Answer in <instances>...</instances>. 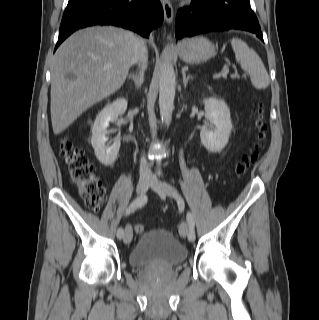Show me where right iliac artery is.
<instances>
[{
  "instance_id": "82829eb1",
  "label": "right iliac artery",
  "mask_w": 319,
  "mask_h": 320,
  "mask_svg": "<svg viewBox=\"0 0 319 320\" xmlns=\"http://www.w3.org/2000/svg\"><path fill=\"white\" fill-rule=\"evenodd\" d=\"M147 202V196L141 195L137 197L126 209L125 216L129 215L130 213L134 212L137 208L142 207ZM124 235L123 229L119 228L117 231V238L122 239Z\"/></svg>"
}]
</instances>
